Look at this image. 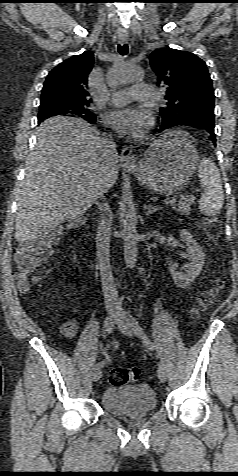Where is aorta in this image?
<instances>
[{"mask_svg":"<svg viewBox=\"0 0 238 476\" xmlns=\"http://www.w3.org/2000/svg\"><path fill=\"white\" fill-rule=\"evenodd\" d=\"M144 74L141 68L137 66L124 65L114 72L113 79L115 82L125 83L138 81L143 79ZM136 218L131 212L125 214L123 221V242H124V259L128 268H133L137 261V239L138 233L136 229Z\"/></svg>","mask_w":238,"mask_h":476,"instance_id":"762f6f07","label":"aorta"}]
</instances>
